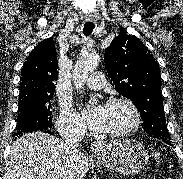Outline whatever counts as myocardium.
Here are the masks:
<instances>
[{
    "label": "myocardium",
    "mask_w": 183,
    "mask_h": 179,
    "mask_svg": "<svg viewBox=\"0 0 183 179\" xmlns=\"http://www.w3.org/2000/svg\"><path fill=\"white\" fill-rule=\"evenodd\" d=\"M114 104L126 105L132 113V122L128 127L122 130L104 132V135L117 138V137H125L135 132L141 124V113L137 105L131 99L126 97H113L110 98L106 103V105H114Z\"/></svg>",
    "instance_id": "f54148a6"
}]
</instances>
